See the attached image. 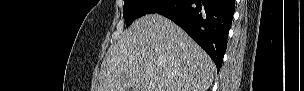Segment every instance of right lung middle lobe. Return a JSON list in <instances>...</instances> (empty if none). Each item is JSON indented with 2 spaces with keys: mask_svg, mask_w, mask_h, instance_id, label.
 <instances>
[{
  "mask_svg": "<svg viewBox=\"0 0 304 91\" xmlns=\"http://www.w3.org/2000/svg\"><path fill=\"white\" fill-rule=\"evenodd\" d=\"M158 2L164 3V0H124L123 17L126 26H129L134 19L150 14Z\"/></svg>",
  "mask_w": 304,
  "mask_h": 91,
  "instance_id": "obj_1",
  "label": "right lung middle lobe"
}]
</instances>
